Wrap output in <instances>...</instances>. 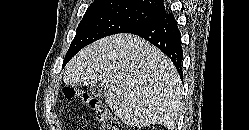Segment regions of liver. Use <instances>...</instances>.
<instances>
[{"label":"liver","mask_w":249,"mask_h":130,"mask_svg":"<svg viewBox=\"0 0 249 130\" xmlns=\"http://www.w3.org/2000/svg\"><path fill=\"white\" fill-rule=\"evenodd\" d=\"M63 80L69 86L102 84L105 102L129 126L176 128L180 76L165 54L138 36L117 34L85 47L66 65Z\"/></svg>","instance_id":"6515ba94"}]
</instances>
